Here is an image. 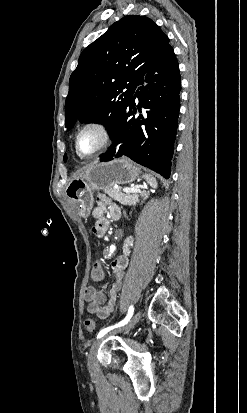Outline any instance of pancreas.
I'll return each mask as SVG.
<instances>
[{"mask_svg":"<svg viewBox=\"0 0 247 413\" xmlns=\"http://www.w3.org/2000/svg\"><path fill=\"white\" fill-rule=\"evenodd\" d=\"M104 192L106 194H109L111 198H114V200H119L121 204H136V202H139V194H129V192H121V190H118V188H104ZM149 192H141V196H144V198H148Z\"/></svg>","mask_w":247,"mask_h":413,"instance_id":"obj_1","label":"pancreas"}]
</instances>
